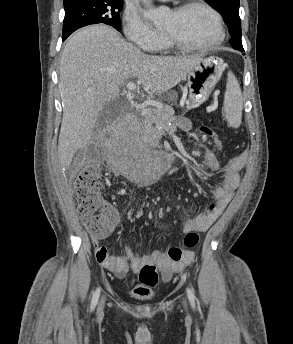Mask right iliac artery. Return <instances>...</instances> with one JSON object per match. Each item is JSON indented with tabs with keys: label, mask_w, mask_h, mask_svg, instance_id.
Wrapping results in <instances>:
<instances>
[{
	"label": "right iliac artery",
	"mask_w": 293,
	"mask_h": 344,
	"mask_svg": "<svg viewBox=\"0 0 293 344\" xmlns=\"http://www.w3.org/2000/svg\"><path fill=\"white\" fill-rule=\"evenodd\" d=\"M99 295H100V289L98 288L93 294L92 301H91V309L95 308L99 299Z\"/></svg>",
	"instance_id": "right-iliac-artery-1"
}]
</instances>
